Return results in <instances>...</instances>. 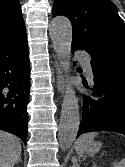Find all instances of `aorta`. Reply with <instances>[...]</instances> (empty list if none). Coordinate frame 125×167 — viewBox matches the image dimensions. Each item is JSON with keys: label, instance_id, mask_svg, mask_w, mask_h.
I'll return each mask as SVG.
<instances>
[{"label": "aorta", "instance_id": "1", "mask_svg": "<svg viewBox=\"0 0 125 167\" xmlns=\"http://www.w3.org/2000/svg\"><path fill=\"white\" fill-rule=\"evenodd\" d=\"M49 35L57 55L62 59H66V61H61V65L65 73H67L70 67L69 58L72 43V26L70 21L65 17L52 19L49 25ZM79 124L78 98L75 95L74 89L67 85L62 103L58 132V139L62 150L68 149L75 141Z\"/></svg>", "mask_w": 125, "mask_h": 167}]
</instances>
